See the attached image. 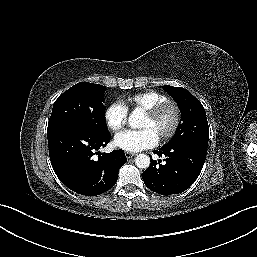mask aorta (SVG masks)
<instances>
[{"label":"aorta","mask_w":257,"mask_h":257,"mask_svg":"<svg viewBox=\"0 0 257 257\" xmlns=\"http://www.w3.org/2000/svg\"><path fill=\"white\" fill-rule=\"evenodd\" d=\"M129 124L133 128H137L140 122V114L136 111L129 116ZM135 165L140 169H147L150 165V158L146 154H138L135 157Z\"/></svg>","instance_id":"aorta-1"}]
</instances>
